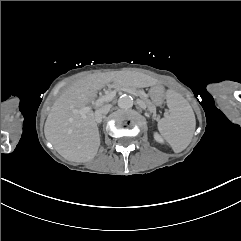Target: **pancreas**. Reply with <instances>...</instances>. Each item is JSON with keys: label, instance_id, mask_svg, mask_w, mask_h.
Returning <instances> with one entry per match:
<instances>
[{"label": "pancreas", "instance_id": "obj_1", "mask_svg": "<svg viewBox=\"0 0 241 241\" xmlns=\"http://www.w3.org/2000/svg\"><path fill=\"white\" fill-rule=\"evenodd\" d=\"M112 87L116 88V91L120 90L121 87H127V89L134 90V92H136V95L141 97L145 103H147L149 106L153 105V102L149 101V99L146 97V95L143 94L142 92H140V90L138 88L128 87L127 85H120V84H117V85H114V86H109V88H112ZM154 115H155V113H154Z\"/></svg>", "mask_w": 241, "mask_h": 241}]
</instances>
